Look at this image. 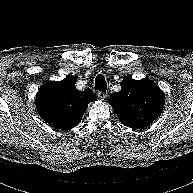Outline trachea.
<instances>
[{
  "label": "trachea",
  "mask_w": 193,
  "mask_h": 193,
  "mask_svg": "<svg viewBox=\"0 0 193 193\" xmlns=\"http://www.w3.org/2000/svg\"><path fill=\"white\" fill-rule=\"evenodd\" d=\"M95 90L106 92L107 84L105 77L102 74L97 75L95 79Z\"/></svg>",
  "instance_id": "trachea-1"
}]
</instances>
